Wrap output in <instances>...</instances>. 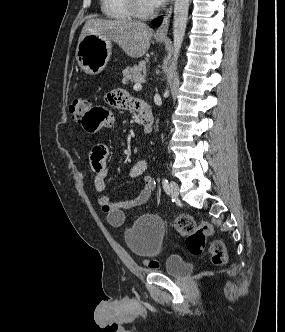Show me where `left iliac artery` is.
Wrapping results in <instances>:
<instances>
[{
	"label": "left iliac artery",
	"mask_w": 285,
	"mask_h": 332,
	"mask_svg": "<svg viewBox=\"0 0 285 332\" xmlns=\"http://www.w3.org/2000/svg\"><path fill=\"white\" fill-rule=\"evenodd\" d=\"M162 186H163L164 191L167 194H169V183H168V180L166 178L162 179Z\"/></svg>",
	"instance_id": "1"
}]
</instances>
